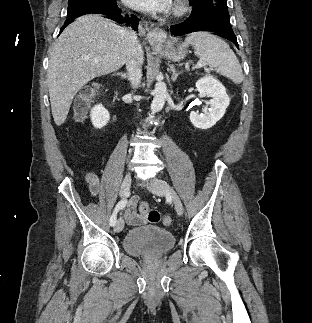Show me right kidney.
Returning a JSON list of instances; mask_svg holds the SVG:
<instances>
[{
	"mask_svg": "<svg viewBox=\"0 0 312 323\" xmlns=\"http://www.w3.org/2000/svg\"><path fill=\"white\" fill-rule=\"evenodd\" d=\"M90 118L94 128H104L110 120V114L102 104H98L92 108Z\"/></svg>",
	"mask_w": 312,
	"mask_h": 323,
	"instance_id": "right-kidney-1",
	"label": "right kidney"
}]
</instances>
